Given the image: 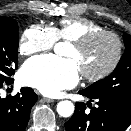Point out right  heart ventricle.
Returning <instances> with one entry per match:
<instances>
[{
  "mask_svg": "<svg viewBox=\"0 0 131 131\" xmlns=\"http://www.w3.org/2000/svg\"><path fill=\"white\" fill-rule=\"evenodd\" d=\"M53 29L57 40L71 42L89 32L102 30L103 28L95 21L87 18L67 17L61 19Z\"/></svg>",
  "mask_w": 131,
  "mask_h": 131,
  "instance_id": "obj_1",
  "label": "right heart ventricle"
}]
</instances>
